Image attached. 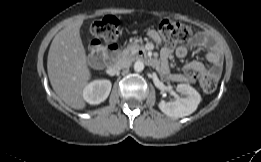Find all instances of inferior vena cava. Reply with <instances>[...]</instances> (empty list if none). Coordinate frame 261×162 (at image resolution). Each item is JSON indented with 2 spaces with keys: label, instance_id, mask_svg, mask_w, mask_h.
Segmentation results:
<instances>
[{
  "label": "inferior vena cava",
  "instance_id": "602c4592",
  "mask_svg": "<svg viewBox=\"0 0 261 162\" xmlns=\"http://www.w3.org/2000/svg\"><path fill=\"white\" fill-rule=\"evenodd\" d=\"M131 65V61L128 59H123L118 61L116 64H114V69L115 70H120L123 68H129Z\"/></svg>",
  "mask_w": 261,
  "mask_h": 162
}]
</instances>
